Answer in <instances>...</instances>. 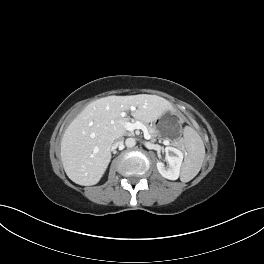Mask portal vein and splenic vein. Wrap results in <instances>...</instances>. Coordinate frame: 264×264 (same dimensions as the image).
Listing matches in <instances>:
<instances>
[{"label":"portal vein and splenic vein","mask_w":264,"mask_h":264,"mask_svg":"<svg viewBox=\"0 0 264 264\" xmlns=\"http://www.w3.org/2000/svg\"><path fill=\"white\" fill-rule=\"evenodd\" d=\"M131 110L134 111L135 108L132 107ZM121 116L122 117L125 116V113L122 112L121 113ZM122 124H123L124 128L126 130H128V131H134L136 129H139V130H142L143 131L145 138H147V139H150L151 138L147 127L142 122H140V121H136L135 123L123 122ZM164 144H167L168 145L169 144V141L168 140H165L164 141Z\"/></svg>","instance_id":"obj_1"}]
</instances>
